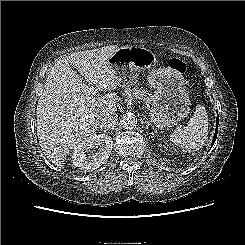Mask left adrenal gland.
I'll return each mask as SVG.
<instances>
[{
    "instance_id": "a2214340",
    "label": "left adrenal gland",
    "mask_w": 245,
    "mask_h": 245,
    "mask_svg": "<svg viewBox=\"0 0 245 245\" xmlns=\"http://www.w3.org/2000/svg\"><path fill=\"white\" fill-rule=\"evenodd\" d=\"M143 117H144V121L146 123V129H148L149 127H151L153 129V126L150 124L148 118L145 115ZM155 133H157V132L155 131Z\"/></svg>"
}]
</instances>
